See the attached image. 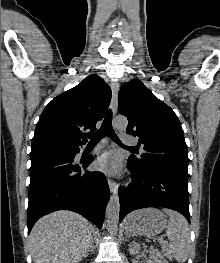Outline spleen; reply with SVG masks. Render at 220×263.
<instances>
[{
  "label": "spleen",
  "instance_id": "spleen-1",
  "mask_svg": "<svg viewBox=\"0 0 220 263\" xmlns=\"http://www.w3.org/2000/svg\"><path fill=\"white\" fill-rule=\"evenodd\" d=\"M169 216V223L166 234L170 240L167 252L178 262L183 263L187 260L190 249V234L187 220L178 212L164 209Z\"/></svg>",
  "mask_w": 220,
  "mask_h": 263
}]
</instances>
